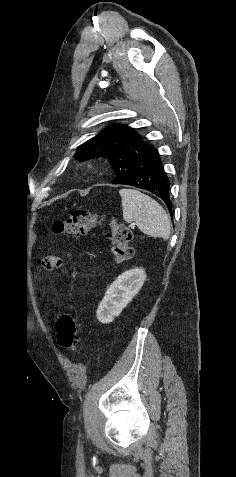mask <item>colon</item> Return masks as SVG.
I'll return each instance as SVG.
<instances>
[{"mask_svg":"<svg viewBox=\"0 0 236 477\" xmlns=\"http://www.w3.org/2000/svg\"><path fill=\"white\" fill-rule=\"evenodd\" d=\"M102 222V217L82 209H75L65 218L56 219L50 229L56 235L81 237L88 234ZM110 238L116 262H124L133 256L131 231L124 225L113 222L110 226ZM56 336L59 346L67 351H75L79 344L77 318L72 313H64L56 324Z\"/></svg>","mask_w":236,"mask_h":477,"instance_id":"colon-1","label":"colon"}]
</instances>
